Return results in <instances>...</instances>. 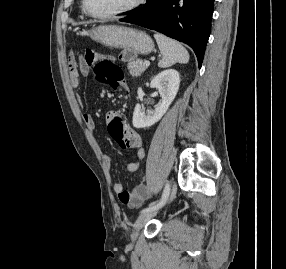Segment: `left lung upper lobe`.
Returning a JSON list of instances; mask_svg holds the SVG:
<instances>
[{"label": "left lung upper lobe", "instance_id": "obj_1", "mask_svg": "<svg viewBox=\"0 0 286 269\" xmlns=\"http://www.w3.org/2000/svg\"><path fill=\"white\" fill-rule=\"evenodd\" d=\"M147 1H148V0H147ZM139 8H140V7H137L136 9L130 11V13H132V12L135 11V10H138Z\"/></svg>", "mask_w": 286, "mask_h": 269}]
</instances>
